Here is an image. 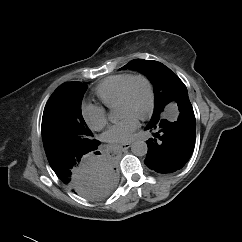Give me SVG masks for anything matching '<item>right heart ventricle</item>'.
Instances as JSON below:
<instances>
[{"label":"right heart ventricle","mask_w":242,"mask_h":242,"mask_svg":"<svg viewBox=\"0 0 242 242\" xmlns=\"http://www.w3.org/2000/svg\"><path fill=\"white\" fill-rule=\"evenodd\" d=\"M131 76L130 73L109 76L95 87L94 93L106 107L115 108L121 91Z\"/></svg>","instance_id":"obj_1"}]
</instances>
